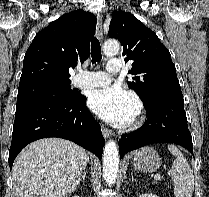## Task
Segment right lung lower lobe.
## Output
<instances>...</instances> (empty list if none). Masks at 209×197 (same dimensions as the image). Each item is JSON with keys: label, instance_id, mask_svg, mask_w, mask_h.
<instances>
[{"label": "right lung lower lobe", "instance_id": "obj_1", "mask_svg": "<svg viewBox=\"0 0 209 197\" xmlns=\"http://www.w3.org/2000/svg\"><path fill=\"white\" fill-rule=\"evenodd\" d=\"M85 102L86 97L79 94L75 99L44 101L16 108L9 150L10 169L27 144L47 137L73 141L101 158L105 140Z\"/></svg>", "mask_w": 209, "mask_h": 197}]
</instances>
